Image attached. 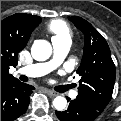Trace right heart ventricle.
Segmentation results:
<instances>
[{"label":"right heart ventricle","instance_id":"right-heart-ventricle-1","mask_svg":"<svg viewBox=\"0 0 121 121\" xmlns=\"http://www.w3.org/2000/svg\"><path fill=\"white\" fill-rule=\"evenodd\" d=\"M48 31L51 32L54 40L70 39L71 33L67 24L63 21L56 20L49 24ZM71 40V39H70Z\"/></svg>","mask_w":121,"mask_h":121}]
</instances>
